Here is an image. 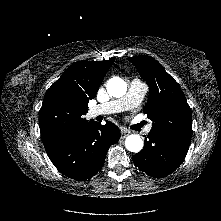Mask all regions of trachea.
Masks as SVG:
<instances>
[{
    "mask_svg": "<svg viewBox=\"0 0 221 221\" xmlns=\"http://www.w3.org/2000/svg\"><path fill=\"white\" fill-rule=\"evenodd\" d=\"M145 123L144 122H142V123H140V126H143Z\"/></svg>",
    "mask_w": 221,
    "mask_h": 221,
    "instance_id": "trachea-1",
    "label": "trachea"
}]
</instances>
